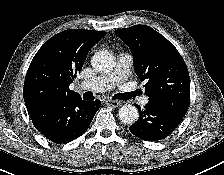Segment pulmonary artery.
<instances>
[{
	"mask_svg": "<svg viewBox=\"0 0 224 175\" xmlns=\"http://www.w3.org/2000/svg\"><path fill=\"white\" fill-rule=\"evenodd\" d=\"M132 62L133 58L131 54L120 53L117 57V62L113 71L90 80H85L80 83L79 87L82 90L91 92H104L109 90L127 77L131 69ZM147 103L148 99L144 98L142 100V104Z\"/></svg>",
	"mask_w": 224,
	"mask_h": 175,
	"instance_id": "1",
	"label": "pulmonary artery"
}]
</instances>
